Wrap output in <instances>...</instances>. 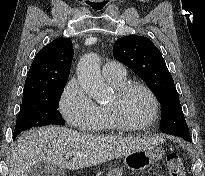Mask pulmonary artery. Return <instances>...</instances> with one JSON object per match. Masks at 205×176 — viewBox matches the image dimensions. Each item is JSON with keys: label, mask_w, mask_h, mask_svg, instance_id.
I'll use <instances>...</instances> for the list:
<instances>
[{"label": "pulmonary artery", "mask_w": 205, "mask_h": 176, "mask_svg": "<svg viewBox=\"0 0 205 176\" xmlns=\"http://www.w3.org/2000/svg\"><path fill=\"white\" fill-rule=\"evenodd\" d=\"M102 72L106 79L122 80L126 78V70L124 65L117 61H109L105 63Z\"/></svg>", "instance_id": "obj_1"}]
</instances>
